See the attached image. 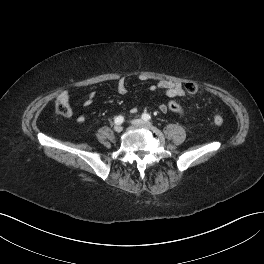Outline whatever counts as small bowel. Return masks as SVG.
I'll use <instances>...</instances> for the list:
<instances>
[{"instance_id":"1","label":"small bowel","mask_w":264,"mask_h":264,"mask_svg":"<svg viewBox=\"0 0 264 264\" xmlns=\"http://www.w3.org/2000/svg\"><path fill=\"white\" fill-rule=\"evenodd\" d=\"M141 81L147 80V77L145 76H140ZM117 92L121 95H124L127 93V83L126 79L124 77H121L117 81ZM151 91H155L157 89H161L165 92L166 96L168 97H185L186 93L185 90L183 89V86L181 83L178 82H173L170 80H160L157 84L151 85L149 88ZM95 94L91 93L89 97L84 101L85 106H90L93 101H94ZM58 102L61 104H64L68 108V114L67 116L72 115V110L70 108V93L67 90L62 91L59 96H58ZM159 110L162 113H166L168 108L166 104H161L159 106ZM76 121L79 124L84 123L85 121V116L79 115L76 117Z\"/></svg>"}]
</instances>
